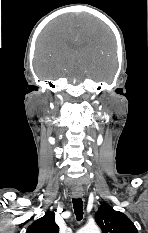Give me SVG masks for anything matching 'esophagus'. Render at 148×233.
I'll return each instance as SVG.
<instances>
[{
    "label": "esophagus",
    "instance_id": "obj_1",
    "mask_svg": "<svg viewBox=\"0 0 148 233\" xmlns=\"http://www.w3.org/2000/svg\"><path fill=\"white\" fill-rule=\"evenodd\" d=\"M72 196H73L74 198L82 197V196H83V192H82V191H79V190H74V191L72 192Z\"/></svg>",
    "mask_w": 148,
    "mask_h": 233
}]
</instances>
